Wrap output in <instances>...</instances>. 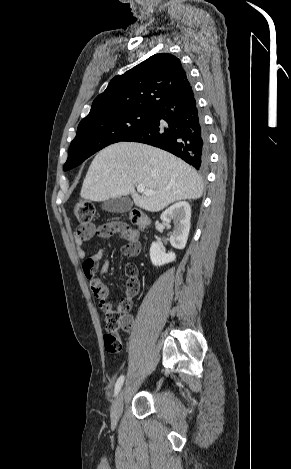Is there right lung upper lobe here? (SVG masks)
<instances>
[{"instance_id": "obj_1", "label": "right lung upper lobe", "mask_w": 291, "mask_h": 469, "mask_svg": "<svg viewBox=\"0 0 291 469\" xmlns=\"http://www.w3.org/2000/svg\"><path fill=\"white\" fill-rule=\"evenodd\" d=\"M191 86L180 60L155 54L123 75L115 76L92 103L86 119L104 118L134 109L154 110L171 93Z\"/></svg>"}]
</instances>
